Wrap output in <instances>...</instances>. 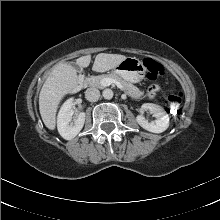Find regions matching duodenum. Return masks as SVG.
I'll use <instances>...</instances> for the list:
<instances>
[{
  "mask_svg": "<svg viewBox=\"0 0 220 220\" xmlns=\"http://www.w3.org/2000/svg\"><path fill=\"white\" fill-rule=\"evenodd\" d=\"M84 75H80L79 77H78V79H77V81H76V83H75V89L76 90H78V89H80L82 86H83V84H84Z\"/></svg>",
  "mask_w": 220,
  "mask_h": 220,
  "instance_id": "duodenum-1",
  "label": "duodenum"
}]
</instances>
